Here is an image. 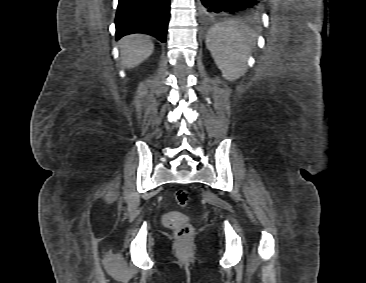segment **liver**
<instances>
[{
  "label": "liver",
  "instance_id": "6515ba94",
  "mask_svg": "<svg viewBox=\"0 0 366 283\" xmlns=\"http://www.w3.org/2000/svg\"><path fill=\"white\" fill-rule=\"evenodd\" d=\"M121 59L124 67L133 68L150 57L154 44L150 37L143 34H130L119 41Z\"/></svg>",
  "mask_w": 366,
  "mask_h": 283
}]
</instances>
